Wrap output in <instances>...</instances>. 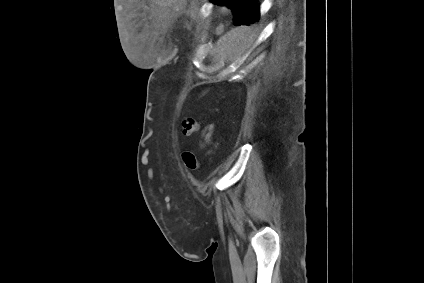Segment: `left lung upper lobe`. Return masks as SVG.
Here are the masks:
<instances>
[{"label": "left lung upper lobe", "mask_w": 424, "mask_h": 283, "mask_svg": "<svg viewBox=\"0 0 424 283\" xmlns=\"http://www.w3.org/2000/svg\"><path fill=\"white\" fill-rule=\"evenodd\" d=\"M210 2L231 8L236 26L250 25L260 19L257 0H210Z\"/></svg>", "instance_id": "1"}]
</instances>
